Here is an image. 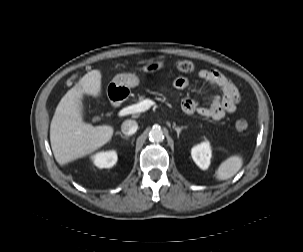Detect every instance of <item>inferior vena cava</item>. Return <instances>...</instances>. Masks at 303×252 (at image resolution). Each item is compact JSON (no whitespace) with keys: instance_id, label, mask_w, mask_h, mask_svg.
<instances>
[{"instance_id":"602c4592","label":"inferior vena cava","mask_w":303,"mask_h":252,"mask_svg":"<svg viewBox=\"0 0 303 252\" xmlns=\"http://www.w3.org/2000/svg\"><path fill=\"white\" fill-rule=\"evenodd\" d=\"M138 129V124L135 120H125L121 125V130L125 135H132Z\"/></svg>"}]
</instances>
